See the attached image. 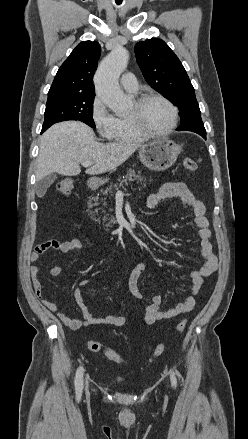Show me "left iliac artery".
<instances>
[{
    "instance_id": "1",
    "label": "left iliac artery",
    "mask_w": 248,
    "mask_h": 439,
    "mask_svg": "<svg viewBox=\"0 0 248 439\" xmlns=\"http://www.w3.org/2000/svg\"><path fill=\"white\" fill-rule=\"evenodd\" d=\"M171 383H172V385H173L174 387H176V385H177V379H176V377H175L174 372H171Z\"/></svg>"
}]
</instances>
